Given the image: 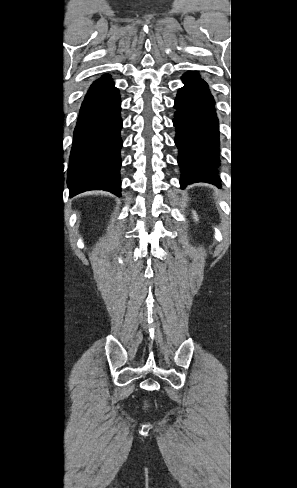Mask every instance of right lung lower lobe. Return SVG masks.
Segmentation results:
<instances>
[{
  "label": "right lung lower lobe",
  "instance_id": "1",
  "mask_svg": "<svg viewBox=\"0 0 297 488\" xmlns=\"http://www.w3.org/2000/svg\"><path fill=\"white\" fill-rule=\"evenodd\" d=\"M120 105L119 91L109 78L85 96L68 169L71 197L88 190L120 196Z\"/></svg>",
  "mask_w": 297,
  "mask_h": 488
}]
</instances>
